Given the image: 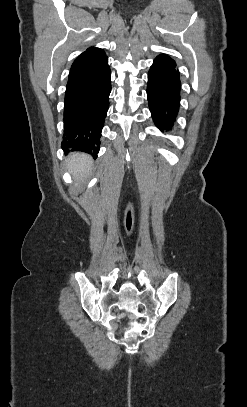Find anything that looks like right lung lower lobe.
Listing matches in <instances>:
<instances>
[{"label": "right lung lower lobe", "mask_w": 247, "mask_h": 407, "mask_svg": "<svg viewBox=\"0 0 247 407\" xmlns=\"http://www.w3.org/2000/svg\"><path fill=\"white\" fill-rule=\"evenodd\" d=\"M110 76L106 56L69 74L65 92L63 150L82 151L97 157L109 108Z\"/></svg>", "instance_id": "1"}]
</instances>
